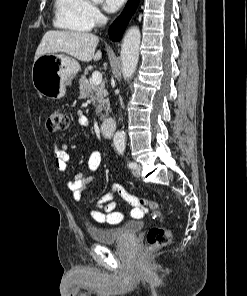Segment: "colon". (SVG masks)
I'll return each instance as SVG.
<instances>
[{"mask_svg":"<svg viewBox=\"0 0 247 296\" xmlns=\"http://www.w3.org/2000/svg\"><path fill=\"white\" fill-rule=\"evenodd\" d=\"M47 129L50 132H58L65 130L68 126V119L60 107H53L50 109L47 118ZM138 206L146 207L148 209L159 212V203L154 200L141 198L135 201ZM140 212H135L134 216H139ZM171 238V231L163 226L152 227L146 236L147 252H154L165 247Z\"/></svg>","mask_w":247,"mask_h":296,"instance_id":"obj_1","label":"colon"}]
</instances>
